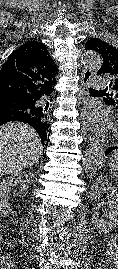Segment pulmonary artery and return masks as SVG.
<instances>
[{
    "label": "pulmonary artery",
    "mask_w": 118,
    "mask_h": 269,
    "mask_svg": "<svg viewBox=\"0 0 118 269\" xmlns=\"http://www.w3.org/2000/svg\"><path fill=\"white\" fill-rule=\"evenodd\" d=\"M91 86L95 89H103L107 86V82L101 77H95L91 81Z\"/></svg>",
    "instance_id": "1"
}]
</instances>
